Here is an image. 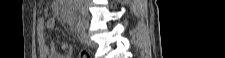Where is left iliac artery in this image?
<instances>
[{
	"label": "left iliac artery",
	"mask_w": 225,
	"mask_h": 58,
	"mask_svg": "<svg viewBox=\"0 0 225 58\" xmlns=\"http://www.w3.org/2000/svg\"><path fill=\"white\" fill-rule=\"evenodd\" d=\"M77 30H78L79 33L85 32V27H84V24H83L82 21H79V22L77 23Z\"/></svg>",
	"instance_id": "44dca946"
}]
</instances>
